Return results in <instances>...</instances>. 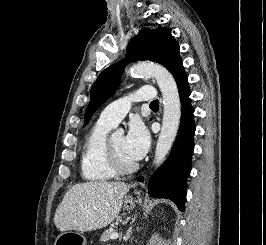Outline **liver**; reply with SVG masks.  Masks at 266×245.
Returning <instances> with one entry per match:
<instances>
[{
  "label": "liver",
  "instance_id": "1",
  "mask_svg": "<svg viewBox=\"0 0 266 245\" xmlns=\"http://www.w3.org/2000/svg\"><path fill=\"white\" fill-rule=\"evenodd\" d=\"M132 185L125 183H79L65 193L55 215L59 231H94L107 227L119 215L124 195Z\"/></svg>",
  "mask_w": 266,
  "mask_h": 245
}]
</instances>
